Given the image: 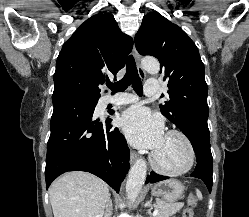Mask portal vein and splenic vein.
Returning <instances> with one entry per match:
<instances>
[{
	"label": "portal vein and splenic vein",
	"mask_w": 249,
	"mask_h": 217,
	"mask_svg": "<svg viewBox=\"0 0 249 217\" xmlns=\"http://www.w3.org/2000/svg\"><path fill=\"white\" fill-rule=\"evenodd\" d=\"M158 214V209H155L154 212H153V216L156 217Z\"/></svg>",
	"instance_id": "portal-vein-and-splenic-vein-1"
}]
</instances>
